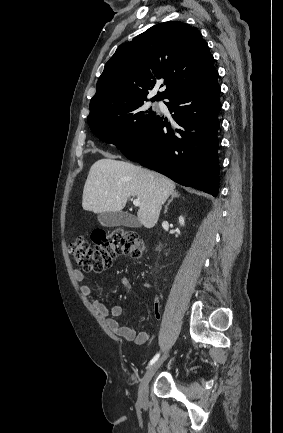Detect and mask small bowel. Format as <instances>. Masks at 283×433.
I'll return each mask as SVG.
<instances>
[{
    "label": "small bowel",
    "mask_w": 283,
    "mask_h": 433,
    "mask_svg": "<svg viewBox=\"0 0 283 433\" xmlns=\"http://www.w3.org/2000/svg\"><path fill=\"white\" fill-rule=\"evenodd\" d=\"M74 277L77 282H83L85 280V274L76 270ZM125 287L130 290V285L126 282ZM81 293L84 297L89 299L93 306L97 309L98 313L106 319L107 326L116 335L124 337L129 341L135 342L137 345H143L148 342L152 337L153 333L150 331L138 332L134 326H125L118 321V318L122 316L123 309L120 305H113L107 307L104 304L93 298V292L89 285L81 286ZM156 316L159 317V313L156 310Z\"/></svg>",
    "instance_id": "small-bowel-1"
}]
</instances>
